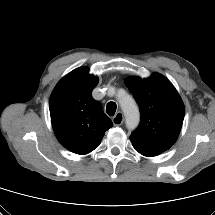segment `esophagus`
I'll list each match as a JSON object with an SVG mask.
<instances>
[{"label": "esophagus", "instance_id": "esophagus-1", "mask_svg": "<svg viewBox=\"0 0 215 215\" xmlns=\"http://www.w3.org/2000/svg\"><path fill=\"white\" fill-rule=\"evenodd\" d=\"M124 121V115L122 112H117L116 115L112 118V122L115 126L122 125Z\"/></svg>", "mask_w": 215, "mask_h": 215}]
</instances>
